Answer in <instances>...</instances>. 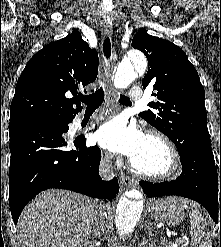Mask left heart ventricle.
<instances>
[{
  "label": "left heart ventricle",
  "instance_id": "b2bd125f",
  "mask_svg": "<svg viewBox=\"0 0 221 247\" xmlns=\"http://www.w3.org/2000/svg\"><path fill=\"white\" fill-rule=\"evenodd\" d=\"M131 160L136 168L152 174L166 172L171 165L167 147L159 140L147 136L140 151Z\"/></svg>",
  "mask_w": 221,
  "mask_h": 247
}]
</instances>
